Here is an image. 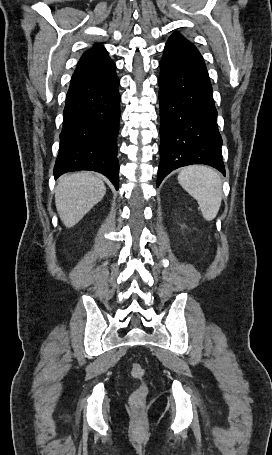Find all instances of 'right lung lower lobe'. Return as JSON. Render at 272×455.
I'll return each mask as SVG.
<instances>
[{
    "instance_id": "right-lung-lower-lobe-1",
    "label": "right lung lower lobe",
    "mask_w": 272,
    "mask_h": 455,
    "mask_svg": "<svg viewBox=\"0 0 272 455\" xmlns=\"http://www.w3.org/2000/svg\"><path fill=\"white\" fill-rule=\"evenodd\" d=\"M115 70L70 84L63 112V129L54 176L92 170L107 176L119 187L117 134L121 97Z\"/></svg>"
}]
</instances>
